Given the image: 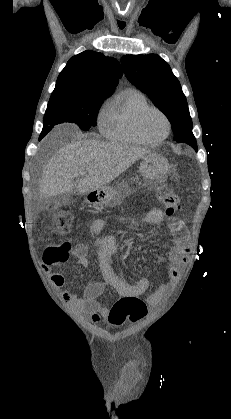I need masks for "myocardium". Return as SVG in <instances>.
Segmentation results:
<instances>
[{
	"label": "myocardium",
	"mask_w": 231,
	"mask_h": 419,
	"mask_svg": "<svg viewBox=\"0 0 231 419\" xmlns=\"http://www.w3.org/2000/svg\"><path fill=\"white\" fill-rule=\"evenodd\" d=\"M150 111H156V112H158L159 114H161V116L164 118V120H165V122H166V125H167V130H166V132H165V134L162 136V137H160V138H158V139H150V138H148L146 135H145V133L143 132V129H142V122H143V119H144V117H145V115L148 113V112H150ZM134 126H135V130H136V133H137V135L139 136V138L144 142V143H146V144H149V145H156V144H159V143H161V142H163L168 136H169V134H170V132H171V122H170V119H169V117L167 116V114L162 110V109H160V108H158V107H156V106H147V107H145V108H143L138 114H137V116H136V118H135V123H134Z\"/></svg>",
	"instance_id": "myocardium-1"
}]
</instances>
